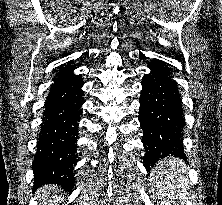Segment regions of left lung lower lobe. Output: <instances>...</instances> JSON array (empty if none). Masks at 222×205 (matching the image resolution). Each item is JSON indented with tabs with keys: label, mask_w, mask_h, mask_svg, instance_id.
Segmentation results:
<instances>
[{
	"label": "left lung lower lobe",
	"mask_w": 222,
	"mask_h": 205,
	"mask_svg": "<svg viewBox=\"0 0 222 205\" xmlns=\"http://www.w3.org/2000/svg\"><path fill=\"white\" fill-rule=\"evenodd\" d=\"M151 72L142 79L139 121L146 151L144 166L150 170L160 158L174 155L184 158L181 140L185 125L177 83L163 61L149 64ZM162 157H157L158 152Z\"/></svg>",
	"instance_id": "left-lung-lower-lobe-1"
}]
</instances>
